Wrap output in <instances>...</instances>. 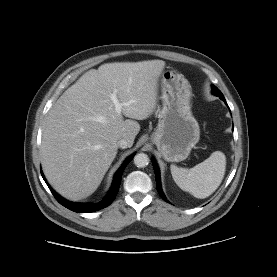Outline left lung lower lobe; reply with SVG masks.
Instances as JSON below:
<instances>
[{
  "label": "left lung lower lobe",
  "instance_id": "obj_1",
  "mask_svg": "<svg viewBox=\"0 0 277 277\" xmlns=\"http://www.w3.org/2000/svg\"><path fill=\"white\" fill-rule=\"evenodd\" d=\"M224 102L226 103V101L224 100ZM152 164H153V167H154V171H155V178H156V187H157V191L159 193V195L161 196V198L168 202L163 191H162V188H161V181H160V172H159V168L156 164V162L153 160L152 161Z\"/></svg>",
  "mask_w": 277,
  "mask_h": 277
}]
</instances>
